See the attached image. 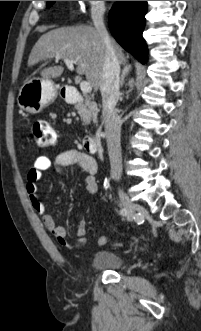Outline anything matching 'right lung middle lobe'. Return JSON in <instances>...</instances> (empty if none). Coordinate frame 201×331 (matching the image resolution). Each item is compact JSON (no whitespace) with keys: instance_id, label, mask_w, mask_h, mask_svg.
<instances>
[{"instance_id":"obj_1","label":"right lung middle lobe","mask_w":201,"mask_h":331,"mask_svg":"<svg viewBox=\"0 0 201 331\" xmlns=\"http://www.w3.org/2000/svg\"><path fill=\"white\" fill-rule=\"evenodd\" d=\"M55 1H47V8H49L50 6H52V4L54 3Z\"/></svg>"}]
</instances>
